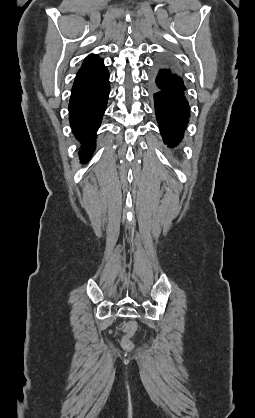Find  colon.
<instances>
[{
    "instance_id": "obj_1",
    "label": "colon",
    "mask_w": 255,
    "mask_h": 418,
    "mask_svg": "<svg viewBox=\"0 0 255 418\" xmlns=\"http://www.w3.org/2000/svg\"><path fill=\"white\" fill-rule=\"evenodd\" d=\"M138 326L135 322L130 321L123 325L121 338V346L126 351H132L134 349V342L132 337L136 334Z\"/></svg>"
}]
</instances>
